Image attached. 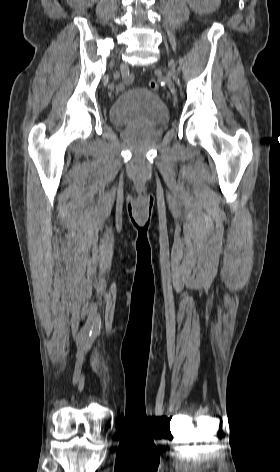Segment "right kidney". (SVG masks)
<instances>
[{"instance_id":"ca27d5eb","label":"right kidney","mask_w":280,"mask_h":472,"mask_svg":"<svg viewBox=\"0 0 280 472\" xmlns=\"http://www.w3.org/2000/svg\"><path fill=\"white\" fill-rule=\"evenodd\" d=\"M97 0H82L83 5L85 6H91L94 2Z\"/></svg>"}]
</instances>
